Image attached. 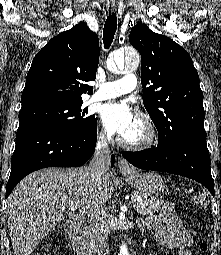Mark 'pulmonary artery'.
<instances>
[{"instance_id": "pulmonary-artery-1", "label": "pulmonary artery", "mask_w": 221, "mask_h": 255, "mask_svg": "<svg viewBox=\"0 0 221 255\" xmlns=\"http://www.w3.org/2000/svg\"><path fill=\"white\" fill-rule=\"evenodd\" d=\"M137 86V77L129 73L116 81H108L99 84V90L92 96L94 101L111 99L132 92Z\"/></svg>"}]
</instances>
